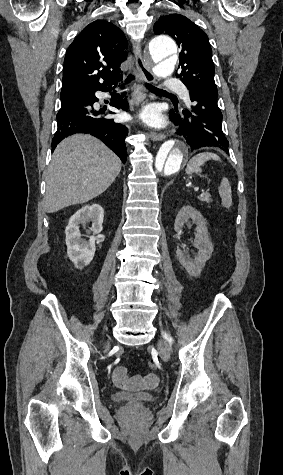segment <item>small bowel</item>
Wrapping results in <instances>:
<instances>
[{
    "label": "small bowel",
    "instance_id": "c3829d8e",
    "mask_svg": "<svg viewBox=\"0 0 283 475\" xmlns=\"http://www.w3.org/2000/svg\"><path fill=\"white\" fill-rule=\"evenodd\" d=\"M132 377V383L134 385H139L141 383L140 372H133ZM112 381L113 384L119 389H127L130 387V378L124 366L119 365L114 368L112 373ZM144 381L149 387H154L158 383V376L155 374H149L144 377Z\"/></svg>",
    "mask_w": 283,
    "mask_h": 475
}]
</instances>
